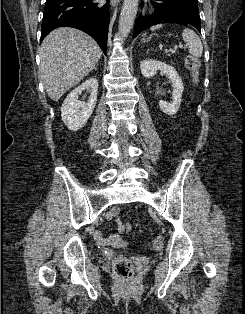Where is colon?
Returning <instances> with one entry per match:
<instances>
[{"instance_id": "colon-1", "label": "colon", "mask_w": 245, "mask_h": 314, "mask_svg": "<svg viewBox=\"0 0 245 314\" xmlns=\"http://www.w3.org/2000/svg\"><path fill=\"white\" fill-rule=\"evenodd\" d=\"M186 66L191 72L193 82L196 83L198 81V68H199L198 61L193 57H188L186 60ZM121 229L123 231L125 230L127 231L129 230V225L128 224L121 225ZM150 246L155 250L160 249L162 247L161 239L159 238L153 239L150 243ZM113 268L114 271L123 279L130 280L132 278L133 264L129 259L123 257L115 259L113 263Z\"/></svg>"}]
</instances>
